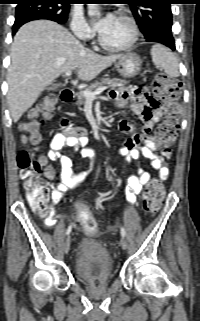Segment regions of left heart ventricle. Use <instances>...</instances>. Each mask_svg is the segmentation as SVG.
<instances>
[{
  "label": "left heart ventricle",
  "instance_id": "1",
  "mask_svg": "<svg viewBox=\"0 0 200 321\" xmlns=\"http://www.w3.org/2000/svg\"><path fill=\"white\" fill-rule=\"evenodd\" d=\"M101 35L108 44L121 46L131 39V25L125 19L115 16L110 26Z\"/></svg>",
  "mask_w": 200,
  "mask_h": 321
}]
</instances>
